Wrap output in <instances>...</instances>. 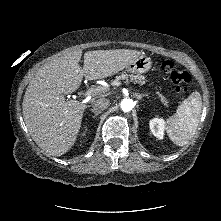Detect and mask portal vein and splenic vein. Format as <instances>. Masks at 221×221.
Listing matches in <instances>:
<instances>
[{
  "instance_id": "18ae733b",
  "label": "portal vein and splenic vein",
  "mask_w": 221,
  "mask_h": 221,
  "mask_svg": "<svg viewBox=\"0 0 221 221\" xmlns=\"http://www.w3.org/2000/svg\"><path fill=\"white\" fill-rule=\"evenodd\" d=\"M116 85H119V82L116 84ZM105 90V88H91L90 90H88L84 96L86 98V100H89L90 99V96L94 93H97V92H100V91H103Z\"/></svg>"
}]
</instances>
